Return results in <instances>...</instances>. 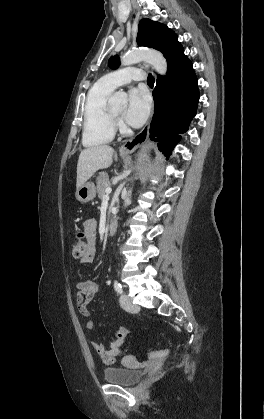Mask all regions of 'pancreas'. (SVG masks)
<instances>
[{
    "label": "pancreas",
    "mask_w": 264,
    "mask_h": 419,
    "mask_svg": "<svg viewBox=\"0 0 264 419\" xmlns=\"http://www.w3.org/2000/svg\"><path fill=\"white\" fill-rule=\"evenodd\" d=\"M96 184L98 197L103 198L106 188H109L111 186L108 174L106 172H100L97 176Z\"/></svg>",
    "instance_id": "1"
}]
</instances>
